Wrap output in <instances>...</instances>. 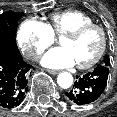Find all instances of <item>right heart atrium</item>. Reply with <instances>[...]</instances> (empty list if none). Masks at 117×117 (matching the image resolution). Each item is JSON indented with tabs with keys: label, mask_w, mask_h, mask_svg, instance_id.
Masks as SVG:
<instances>
[{
	"label": "right heart atrium",
	"mask_w": 117,
	"mask_h": 117,
	"mask_svg": "<svg viewBox=\"0 0 117 117\" xmlns=\"http://www.w3.org/2000/svg\"><path fill=\"white\" fill-rule=\"evenodd\" d=\"M17 41L24 55L36 61L54 42V35L47 24L29 18L21 23L17 31Z\"/></svg>",
	"instance_id": "d8ad5b80"
}]
</instances>
